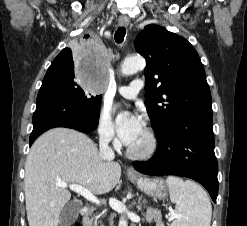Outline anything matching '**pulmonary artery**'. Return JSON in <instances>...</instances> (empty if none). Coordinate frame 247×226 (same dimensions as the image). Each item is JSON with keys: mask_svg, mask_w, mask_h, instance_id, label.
Wrapping results in <instances>:
<instances>
[{"mask_svg": "<svg viewBox=\"0 0 247 226\" xmlns=\"http://www.w3.org/2000/svg\"><path fill=\"white\" fill-rule=\"evenodd\" d=\"M143 87V81L141 79L133 80L129 85L118 86V93L127 99H134L138 95L139 91Z\"/></svg>", "mask_w": 247, "mask_h": 226, "instance_id": "pulmonary-artery-1", "label": "pulmonary artery"}]
</instances>
